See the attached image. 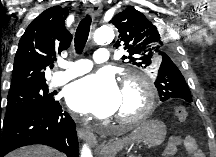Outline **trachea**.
<instances>
[{"mask_svg": "<svg viewBox=\"0 0 216 157\" xmlns=\"http://www.w3.org/2000/svg\"><path fill=\"white\" fill-rule=\"evenodd\" d=\"M91 22V16L87 15L84 19L81 20L77 27L74 39L76 53H81L86 45L90 32Z\"/></svg>", "mask_w": 216, "mask_h": 157, "instance_id": "3493384b", "label": "trachea"}]
</instances>
